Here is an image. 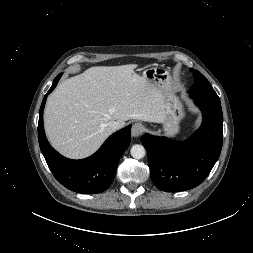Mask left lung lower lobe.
<instances>
[{"mask_svg":"<svg viewBox=\"0 0 253 253\" xmlns=\"http://www.w3.org/2000/svg\"><path fill=\"white\" fill-rule=\"evenodd\" d=\"M203 114L201 127L186 141L144 134L153 183L165 192L186 191L201 184L219 158L223 139L221 103L195 99Z\"/></svg>","mask_w":253,"mask_h":253,"instance_id":"obj_1","label":"left lung lower lobe"}]
</instances>
